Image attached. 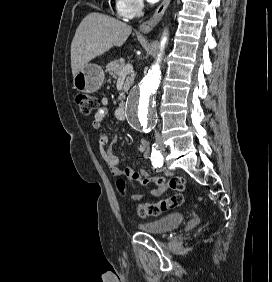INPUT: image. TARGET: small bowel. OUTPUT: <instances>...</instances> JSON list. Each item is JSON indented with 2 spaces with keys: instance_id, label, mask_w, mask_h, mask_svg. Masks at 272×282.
I'll return each mask as SVG.
<instances>
[{
  "instance_id": "obj_1",
  "label": "small bowel",
  "mask_w": 272,
  "mask_h": 282,
  "mask_svg": "<svg viewBox=\"0 0 272 282\" xmlns=\"http://www.w3.org/2000/svg\"><path fill=\"white\" fill-rule=\"evenodd\" d=\"M102 107L96 112L94 120L92 121V127L94 129H100L102 126V122L104 118L108 115L109 110H108V99L103 98L102 99ZM117 143V138L112 137L109 138L108 135L102 134L99 137L98 140V146L100 150V154L107 165V167L115 174V175H125L127 178L130 180H134V173L131 168H125L122 169L120 168L119 165V158L113 154L112 152V147ZM137 151L142 153L143 159L145 162L150 163L151 162V152L149 145L146 141L141 140L137 147ZM143 175H146L147 172L144 171L142 172ZM165 175L167 177L171 176V172L168 169H165ZM149 185H151V189L148 192L149 195L151 196H160L163 193L167 191V185L166 184H158L154 182L153 180L150 179ZM147 184V185H148ZM132 188H135V183L132 182L131 184ZM145 195L143 194H132L130 196L131 200L133 202H140L144 199Z\"/></svg>"
}]
</instances>
